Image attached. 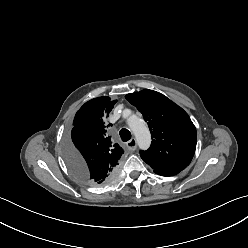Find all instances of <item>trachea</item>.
Instances as JSON below:
<instances>
[{
    "mask_svg": "<svg viewBox=\"0 0 248 248\" xmlns=\"http://www.w3.org/2000/svg\"><path fill=\"white\" fill-rule=\"evenodd\" d=\"M122 141L126 142L131 139V133L129 130L123 128L119 132Z\"/></svg>",
    "mask_w": 248,
    "mask_h": 248,
    "instance_id": "trachea-1",
    "label": "trachea"
}]
</instances>
